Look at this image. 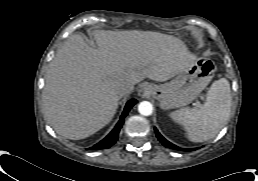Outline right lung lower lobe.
I'll use <instances>...</instances> for the list:
<instances>
[{"label": "right lung lower lobe", "mask_w": 258, "mask_h": 181, "mask_svg": "<svg viewBox=\"0 0 258 181\" xmlns=\"http://www.w3.org/2000/svg\"><path fill=\"white\" fill-rule=\"evenodd\" d=\"M137 103V101L135 99L129 100L124 108V111L120 117L119 122L117 123V125L115 126V128L112 130V132L106 137L104 138L102 141H100L99 143L95 144L92 148L90 149H94V150H100V149H107L110 148L118 139V134L120 131V128L122 127L123 123H124V118L126 117V115L128 114V112L130 111V109Z\"/></svg>", "instance_id": "right-lung-lower-lobe-1"}]
</instances>
